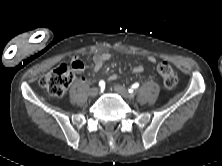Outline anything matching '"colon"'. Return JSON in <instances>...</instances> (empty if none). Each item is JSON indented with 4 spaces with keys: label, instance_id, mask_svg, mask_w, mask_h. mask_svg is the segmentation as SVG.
<instances>
[{
    "label": "colon",
    "instance_id": "1",
    "mask_svg": "<svg viewBox=\"0 0 222 166\" xmlns=\"http://www.w3.org/2000/svg\"><path fill=\"white\" fill-rule=\"evenodd\" d=\"M71 67L74 69V67L79 68L80 66L71 65ZM158 73L166 88L172 89L177 86L179 82L178 73L169 63H160L158 65ZM73 80L74 73L72 69L66 64H61L43 75L39 83L51 96L60 97L64 95Z\"/></svg>",
    "mask_w": 222,
    "mask_h": 166
}]
</instances>
